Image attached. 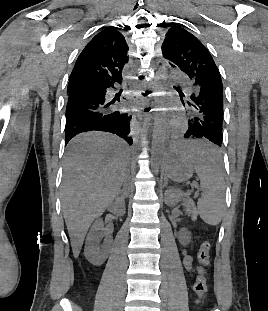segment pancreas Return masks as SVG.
<instances>
[{"instance_id":"1","label":"pancreas","mask_w":268,"mask_h":311,"mask_svg":"<svg viewBox=\"0 0 268 311\" xmlns=\"http://www.w3.org/2000/svg\"><path fill=\"white\" fill-rule=\"evenodd\" d=\"M183 205L186 206L188 213H194L195 212V205L191 199H184Z\"/></svg>"}]
</instances>
